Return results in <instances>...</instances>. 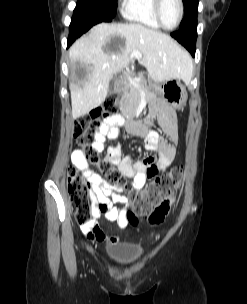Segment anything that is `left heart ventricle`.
I'll use <instances>...</instances> for the list:
<instances>
[{
  "mask_svg": "<svg viewBox=\"0 0 247 304\" xmlns=\"http://www.w3.org/2000/svg\"><path fill=\"white\" fill-rule=\"evenodd\" d=\"M179 17V5L177 0H163L161 7V18L163 24L172 28L176 25Z\"/></svg>",
  "mask_w": 247,
  "mask_h": 304,
  "instance_id": "left-heart-ventricle-1",
  "label": "left heart ventricle"
}]
</instances>
